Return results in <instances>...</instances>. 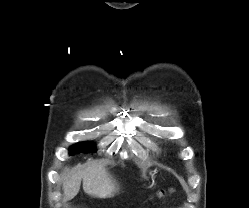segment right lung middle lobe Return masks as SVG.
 I'll list each match as a JSON object with an SVG mask.
<instances>
[{
  "instance_id": "right-lung-middle-lobe-1",
  "label": "right lung middle lobe",
  "mask_w": 249,
  "mask_h": 208,
  "mask_svg": "<svg viewBox=\"0 0 249 208\" xmlns=\"http://www.w3.org/2000/svg\"><path fill=\"white\" fill-rule=\"evenodd\" d=\"M95 145L91 142H81L78 144L73 145L70 148V155H73L74 153H78V152H84V153H88V152H95Z\"/></svg>"
}]
</instances>
